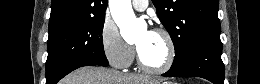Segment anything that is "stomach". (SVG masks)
Segmentation results:
<instances>
[{
	"instance_id": "stomach-1",
	"label": "stomach",
	"mask_w": 260,
	"mask_h": 84,
	"mask_svg": "<svg viewBox=\"0 0 260 84\" xmlns=\"http://www.w3.org/2000/svg\"><path fill=\"white\" fill-rule=\"evenodd\" d=\"M162 84H174L172 82H163Z\"/></svg>"
}]
</instances>
